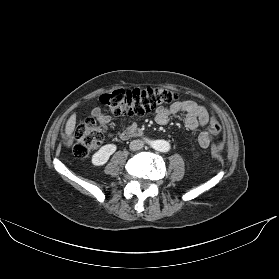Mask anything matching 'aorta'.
Here are the masks:
<instances>
[{"instance_id":"obj_1","label":"aorta","mask_w":279,"mask_h":279,"mask_svg":"<svg viewBox=\"0 0 279 279\" xmlns=\"http://www.w3.org/2000/svg\"><path fill=\"white\" fill-rule=\"evenodd\" d=\"M153 148L160 152H168L170 150L169 142L165 140H156L152 143Z\"/></svg>"}]
</instances>
